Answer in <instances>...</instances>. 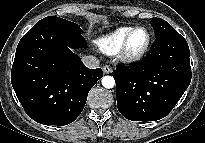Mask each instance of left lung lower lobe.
<instances>
[{"label":"left lung lower lobe","mask_w":205,"mask_h":143,"mask_svg":"<svg viewBox=\"0 0 205 143\" xmlns=\"http://www.w3.org/2000/svg\"><path fill=\"white\" fill-rule=\"evenodd\" d=\"M189 47L175 30L157 37L146 57L113 71L117 107L133 121H156L167 116L191 82Z\"/></svg>","instance_id":"0a47b994"}]
</instances>
